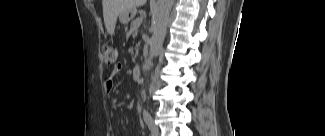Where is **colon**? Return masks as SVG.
<instances>
[{
    "instance_id": "1",
    "label": "colon",
    "mask_w": 325,
    "mask_h": 136,
    "mask_svg": "<svg viewBox=\"0 0 325 136\" xmlns=\"http://www.w3.org/2000/svg\"><path fill=\"white\" fill-rule=\"evenodd\" d=\"M102 54L107 65H115L118 58V50L112 44H104L102 46Z\"/></svg>"
}]
</instances>
